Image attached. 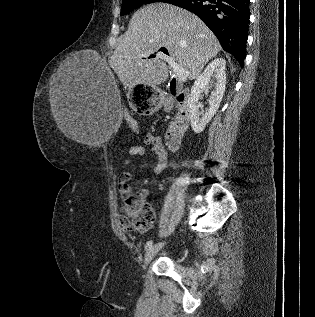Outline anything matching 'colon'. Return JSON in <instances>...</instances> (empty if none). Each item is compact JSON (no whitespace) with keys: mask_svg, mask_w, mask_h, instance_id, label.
I'll return each mask as SVG.
<instances>
[{"mask_svg":"<svg viewBox=\"0 0 315 317\" xmlns=\"http://www.w3.org/2000/svg\"><path fill=\"white\" fill-rule=\"evenodd\" d=\"M126 121L135 132H138L139 125L133 117L127 116ZM123 209L126 214L123 218L132 228L146 230L155 221L154 209L147 202L142 192L126 193Z\"/></svg>","mask_w":315,"mask_h":317,"instance_id":"1","label":"colon"}]
</instances>
